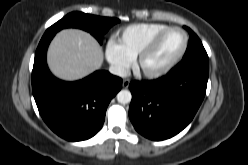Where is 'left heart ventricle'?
Returning a JSON list of instances; mask_svg holds the SVG:
<instances>
[{
	"mask_svg": "<svg viewBox=\"0 0 248 165\" xmlns=\"http://www.w3.org/2000/svg\"><path fill=\"white\" fill-rule=\"evenodd\" d=\"M182 43L183 35L179 31L167 33L143 59L141 67L145 70H153L161 67L180 50Z\"/></svg>",
	"mask_w": 248,
	"mask_h": 165,
	"instance_id": "left-heart-ventricle-1",
	"label": "left heart ventricle"
}]
</instances>
